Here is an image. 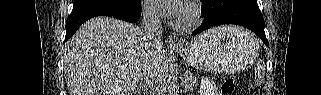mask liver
<instances>
[{"label":"liver","mask_w":321,"mask_h":95,"mask_svg":"<svg viewBox=\"0 0 321 95\" xmlns=\"http://www.w3.org/2000/svg\"><path fill=\"white\" fill-rule=\"evenodd\" d=\"M165 53L163 45L155 50L146 45L138 26L113 18H92L64 46L69 94L130 95L147 65L155 75L159 73Z\"/></svg>","instance_id":"1"}]
</instances>
